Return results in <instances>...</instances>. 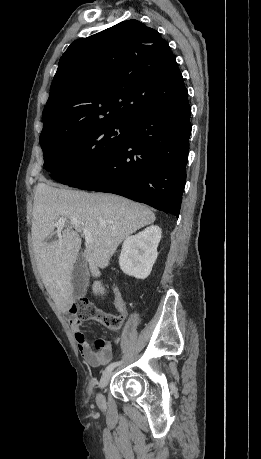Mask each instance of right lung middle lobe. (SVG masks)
<instances>
[{
	"label": "right lung middle lobe",
	"mask_w": 261,
	"mask_h": 459,
	"mask_svg": "<svg viewBox=\"0 0 261 459\" xmlns=\"http://www.w3.org/2000/svg\"><path fill=\"white\" fill-rule=\"evenodd\" d=\"M133 122L110 120L85 129H55L40 135L44 167L71 184L108 160L126 143Z\"/></svg>",
	"instance_id": "right-lung-middle-lobe-1"
}]
</instances>
